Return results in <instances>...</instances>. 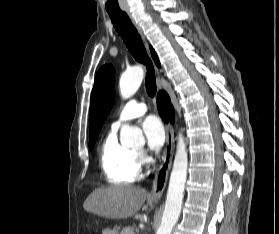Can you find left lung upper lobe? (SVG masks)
Returning <instances> with one entry per match:
<instances>
[{
  "label": "left lung upper lobe",
  "instance_id": "obj_1",
  "mask_svg": "<svg viewBox=\"0 0 279 234\" xmlns=\"http://www.w3.org/2000/svg\"><path fill=\"white\" fill-rule=\"evenodd\" d=\"M114 68L108 64L98 71L91 93L90 103V141L92 149L99 131L114 103Z\"/></svg>",
  "mask_w": 279,
  "mask_h": 234
}]
</instances>
